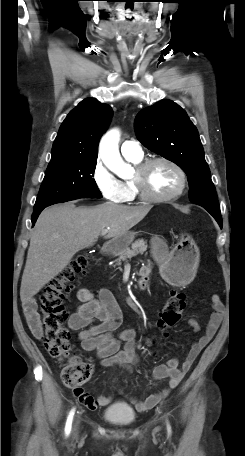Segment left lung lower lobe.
<instances>
[{"mask_svg": "<svg viewBox=\"0 0 245 456\" xmlns=\"http://www.w3.org/2000/svg\"><path fill=\"white\" fill-rule=\"evenodd\" d=\"M216 221L218 222V224L220 225V227H222V218L221 217H218V216H213Z\"/></svg>", "mask_w": 245, "mask_h": 456, "instance_id": "0a47b994", "label": "left lung lower lobe"}]
</instances>
